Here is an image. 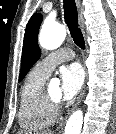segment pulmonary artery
Segmentation results:
<instances>
[{"instance_id":"1","label":"pulmonary artery","mask_w":116,"mask_h":134,"mask_svg":"<svg viewBox=\"0 0 116 134\" xmlns=\"http://www.w3.org/2000/svg\"><path fill=\"white\" fill-rule=\"evenodd\" d=\"M74 56L75 54L72 49L62 48L40 60L35 67L41 73L49 75L57 64L72 60Z\"/></svg>"}]
</instances>
